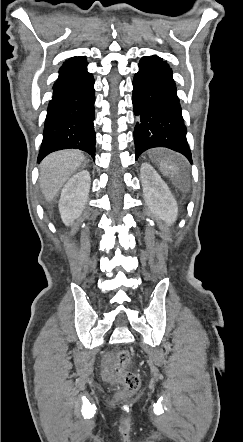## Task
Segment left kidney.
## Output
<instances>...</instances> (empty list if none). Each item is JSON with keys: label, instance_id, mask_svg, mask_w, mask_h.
<instances>
[{"label": "left kidney", "instance_id": "1", "mask_svg": "<svg viewBox=\"0 0 243 442\" xmlns=\"http://www.w3.org/2000/svg\"><path fill=\"white\" fill-rule=\"evenodd\" d=\"M141 179L148 208L171 226L177 219L178 206L168 186L149 163L141 165Z\"/></svg>", "mask_w": 243, "mask_h": 442}]
</instances>
